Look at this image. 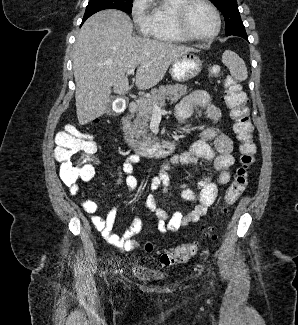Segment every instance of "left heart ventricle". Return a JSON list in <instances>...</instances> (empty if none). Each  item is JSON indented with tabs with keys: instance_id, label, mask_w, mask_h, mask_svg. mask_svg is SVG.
Returning a JSON list of instances; mask_svg holds the SVG:
<instances>
[{
	"instance_id": "left-heart-ventricle-1",
	"label": "left heart ventricle",
	"mask_w": 298,
	"mask_h": 325,
	"mask_svg": "<svg viewBox=\"0 0 298 325\" xmlns=\"http://www.w3.org/2000/svg\"><path fill=\"white\" fill-rule=\"evenodd\" d=\"M187 29L200 39H207L215 30V20L202 5L195 4L187 12L184 21Z\"/></svg>"
}]
</instances>
